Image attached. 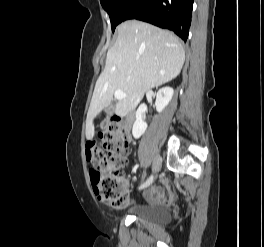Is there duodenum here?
<instances>
[{
    "label": "duodenum",
    "mask_w": 264,
    "mask_h": 247,
    "mask_svg": "<svg viewBox=\"0 0 264 247\" xmlns=\"http://www.w3.org/2000/svg\"><path fill=\"white\" fill-rule=\"evenodd\" d=\"M133 120H134V114H133V112H128V113L124 116V118H123V121H124V123H125L127 126H130V125L132 124Z\"/></svg>",
    "instance_id": "1"
}]
</instances>
